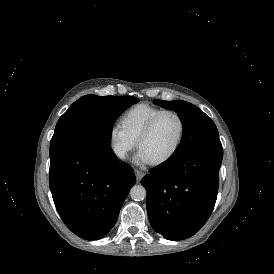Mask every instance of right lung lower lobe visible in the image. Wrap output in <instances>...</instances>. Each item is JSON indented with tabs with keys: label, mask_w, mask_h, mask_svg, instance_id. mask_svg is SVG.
<instances>
[{
	"label": "right lung lower lobe",
	"mask_w": 274,
	"mask_h": 274,
	"mask_svg": "<svg viewBox=\"0 0 274 274\" xmlns=\"http://www.w3.org/2000/svg\"><path fill=\"white\" fill-rule=\"evenodd\" d=\"M133 169L104 144H86L51 159L49 185L67 227L87 240L104 237L135 184Z\"/></svg>",
	"instance_id": "right-lung-lower-lobe-1"
}]
</instances>
